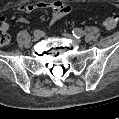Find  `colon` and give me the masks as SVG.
<instances>
[{
    "instance_id": "colon-1",
    "label": "colon",
    "mask_w": 119,
    "mask_h": 119,
    "mask_svg": "<svg viewBox=\"0 0 119 119\" xmlns=\"http://www.w3.org/2000/svg\"><path fill=\"white\" fill-rule=\"evenodd\" d=\"M118 23V17L115 14L108 15L104 21L103 25L107 31H111L116 28ZM10 41V35L7 29L0 27V45H6Z\"/></svg>"
}]
</instances>
